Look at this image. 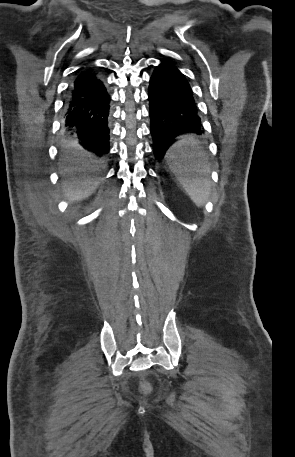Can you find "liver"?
<instances>
[{
	"label": "liver",
	"mask_w": 295,
	"mask_h": 457,
	"mask_svg": "<svg viewBox=\"0 0 295 457\" xmlns=\"http://www.w3.org/2000/svg\"><path fill=\"white\" fill-rule=\"evenodd\" d=\"M79 158L73 160L69 155L61 160L60 173L68 175L74 172H84L90 169V161L87 160L88 154L79 153ZM75 165H72V163ZM98 181L95 179H67L62 183V189L65 197L70 201H78L90 196L97 188Z\"/></svg>",
	"instance_id": "liver-1"
}]
</instances>
